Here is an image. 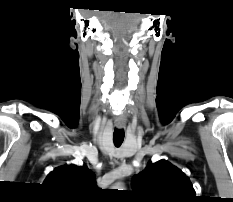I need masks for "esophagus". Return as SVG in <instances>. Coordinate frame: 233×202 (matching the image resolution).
I'll return each mask as SVG.
<instances>
[{
    "label": "esophagus",
    "mask_w": 233,
    "mask_h": 202,
    "mask_svg": "<svg viewBox=\"0 0 233 202\" xmlns=\"http://www.w3.org/2000/svg\"><path fill=\"white\" fill-rule=\"evenodd\" d=\"M116 126H117L118 128H123V127H124V124H116Z\"/></svg>",
    "instance_id": "34e87169"
}]
</instances>
